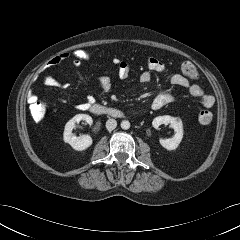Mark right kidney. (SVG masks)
Returning <instances> with one entry per match:
<instances>
[{
  "label": "right kidney",
  "instance_id": "right-kidney-1",
  "mask_svg": "<svg viewBox=\"0 0 240 240\" xmlns=\"http://www.w3.org/2000/svg\"><path fill=\"white\" fill-rule=\"evenodd\" d=\"M81 120L86 121L90 125L93 123L91 116L87 114H77L66 123L63 133L64 142L68 143L76 151L86 150L92 145L93 142L90 135L75 136L72 133L76 123L80 122Z\"/></svg>",
  "mask_w": 240,
  "mask_h": 240
}]
</instances>
